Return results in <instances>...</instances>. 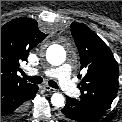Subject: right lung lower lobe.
<instances>
[{
  "instance_id": "obj_1",
  "label": "right lung lower lobe",
  "mask_w": 122,
  "mask_h": 122,
  "mask_svg": "<svg viewBox=\"0 0 122 122\" xmlns=\"http://www.w3.org/2000/svg\"><path fill=\"white\" fill-rule=\"evenodd\" d=\"M38 86L1 88V120H11L20 117L24 112L25 102L37 92Z\"/></svg>"
}]
</instances>
